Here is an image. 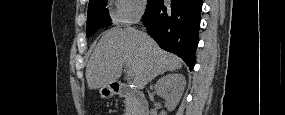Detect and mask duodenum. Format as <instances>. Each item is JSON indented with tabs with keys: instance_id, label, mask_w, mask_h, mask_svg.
<instances>
[{
	"instance_id": "1",
	"label": "duodenum",
	"mask_w": 285,
	"mask_h": 115,
	"mask_svg": "<svg viewBox=\"0 0 285 115\" xmlns=\"http://www.w3.org/2000/svg\"><path fill=\"white\" fill-rule=\"evenodd\" d=\"M110 89L115 95L128 96L132 100V115H147L148 106L144 96L137 90H133L123 82H113Z\"/></svg>"
}]
</instances>
